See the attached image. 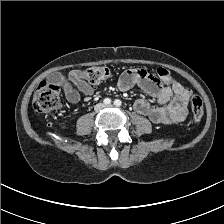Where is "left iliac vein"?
Segmentation results:
<instances>
[{"label": "left iliac vein", "instance_id": "1", "mask_svg": "<svg viewBox=\"0 0 224 224\" xmlns=\"http://www.w3.org/2000/svg\"><path fill=\"white\" fill-rule=\"evenodd\" d=\"M106 108H110L111 107V105H107V106H105Z\"/></svg>", "mask_w": 224, "mask_h": 224}]
</instances>
